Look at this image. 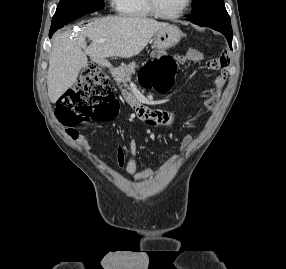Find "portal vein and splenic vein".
<instances>
[{"label": "portal vein and splenic vein", "mask_w": 286, "mask_h": 269, "mask_svg": "<svg viewBox=\"0 0 286 269\" xmlns=\"http://www.w3.org/2000/svg\"><path fill=\"white\" fill-rule=\"evenodd\" d=\"M95 41L98 42V43H104L105 39H99V40H95Z\"/></svg>", "instance_id": "portal-vein-and-splenic-vein-1"}]
</instances>
